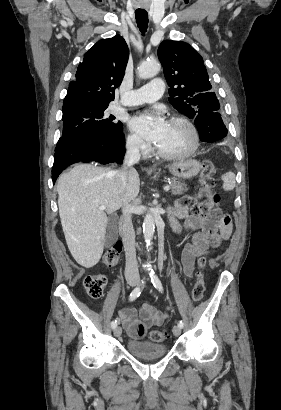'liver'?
<instances>
[{
  "mask_svg": "<svg viewBox=\"0 0 281 410\" xmlns=\"http://www.w3.org/2000/svg\"><path fill=\"white\" fill-rule=\"evenodd\" d=\"M140 191L136 170L128 175L122 189L115 171L92 164H77L58 179V207L68 248L76 262L86 268L96 265L103 253L107 214L125 201L134 200ZM105 206V210L99 207Z\"/></svg>",
  "mask_w": 281,
  "mask_h": 410,
  "instance_id": "liver-1",
  "label": "liver"
}]
</instances>
